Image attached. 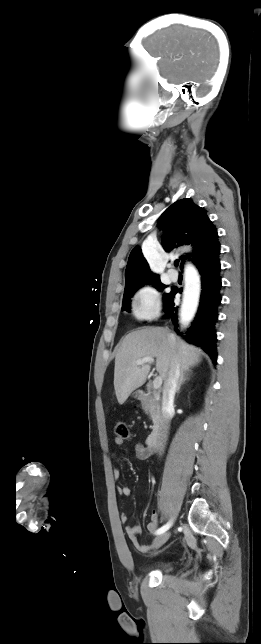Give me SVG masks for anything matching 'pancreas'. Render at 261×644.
Here are the masks:
<instances>
[{
  "label": "pancreas",
  "mask_w": 261,
  "mask_h": 644,
  "mask_svg": "<svg viewBox=\"0 0 261 644\" xmlns=\"http://www.w3.org/2000/svg\"><path fill=\"white\" fill-rule=\"evenodd\" d=\"M142 408L145 411V413H149V405L146 401H142Z\"/></svg>",
  "instance_id": "pancreas-1"
}]
</instances>
